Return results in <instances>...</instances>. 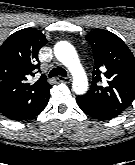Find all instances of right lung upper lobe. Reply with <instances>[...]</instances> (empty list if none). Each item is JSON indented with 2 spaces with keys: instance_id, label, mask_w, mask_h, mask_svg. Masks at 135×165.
Segmentation results:
<instances>
[{
  "instance_id": "cb5924a9",
  "label": "right lung upper lobe",
  "mask_w": 135,
  "mask_h": 165,
  "mask_svg": "<svg viewBox=\"0 0 135 165\" xmlns=\"http://www.w3.org/2000/svg\"><path fill=\"white\" fill-rule=\"evenodd\" d=\"M46 43L39 30L25 28L13 33L0 46V111L49 97L52 86L45 76L30 82L40 66L38 52Z\"/></svg>"
}]
</instances>
